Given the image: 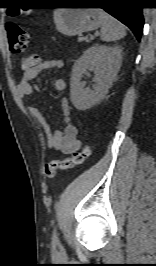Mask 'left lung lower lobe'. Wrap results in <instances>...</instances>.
<instances>
[{
  "label": "left lung lower lobe",
  "mask_w": 156,
  "mask_h": 266,
  "mask_svg": "<svg viewBox=\"0 0 156 266\" xmlns=\"http://www.w3.org/2000/svg\"><path fill=\"white\" fill-rule=\"evenodd\" d=\"M79 5H100L106 12L128 26L140 41L144 19L142 7L135 0H68Z\"/></svg>",
  "instance_id": "left-lung-lower-lobe-1"
}]
</instances>
